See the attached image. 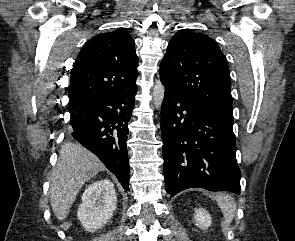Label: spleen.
Instances as JSON below:
<instances>
[{
  "label": "spleen",
  "mask_w": 295,
  "mask_h": 241,
  "mask_svg": "<svg viewBox=\"0 0 295 241\" xmlns=\"http://www.w3.org/2000/svg\"><path fill=\"white\" fill-rule=\"evenodd\" d=\"M215 199L223 213L225 223L227 225L231 224L236 211V203L234 199L224 193L217 194Z\"/></svg>",
  "instance_id": "1"
}]
</instances>
